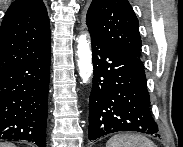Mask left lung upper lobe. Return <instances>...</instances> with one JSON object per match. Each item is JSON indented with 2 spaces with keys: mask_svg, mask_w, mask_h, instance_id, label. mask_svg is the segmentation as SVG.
<instances>
[{
  "mask_svg": "<svg viewBox=\"0 0 183 147\" xmlns=\"http://www.w3.org/2000/svg\"><path fill=\"white\" fill-rule=\"evenodd\" d=\"M86 24L91 37L141 56L138 19L128 0H92Z\"/></svg>",
  "mask_w": 183,
  "mask_h": 147,
  "instance_id": "obj_1",
  "label": "left lung upper lobe"
}]
</instances>
